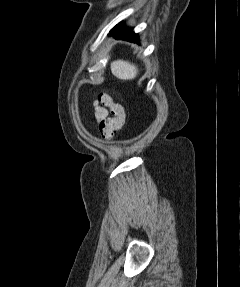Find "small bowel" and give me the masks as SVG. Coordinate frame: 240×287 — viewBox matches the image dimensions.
Listing matches in <instances>:
<instances>
[{
    "instance_id": "1",
    "label": "small bowel",
    "mask_w": 240,
    "mask_h": 287,
    "mask_svg": "<svg viewBox=\"0 0 240 287\" xmlns=\"http://www.w3.org/2000/svg\"><path fill=\"white\" fill-rule=\"evenodd\" d=\"M93 107H94V117L96 121L99 124H101L104 120L107 119L108 110L105 106L101 105L98 100H94Z\"/></svg>"
}]
</instances>
